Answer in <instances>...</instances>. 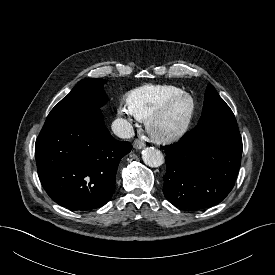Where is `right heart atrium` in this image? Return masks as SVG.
<instances>
[{
  "label": "right heart atrium",
  "instance_id": "obj_1",
  "mask_svg": "<svg viewBox=\"0 0 275 275\" xmlns=\"http://www.w3.org/2000/svg\"><path fill=\"white\" fill-rule=\"evenodd\" d=\"M119 113H120L121 115H125V116L131 115L130 111H129L128 108H126V107H121V108L119 109Z\"/></svg>",
  "mask_w": 275,
  "mask_h": 275
}]
</instances>
